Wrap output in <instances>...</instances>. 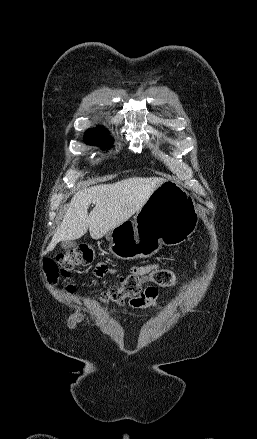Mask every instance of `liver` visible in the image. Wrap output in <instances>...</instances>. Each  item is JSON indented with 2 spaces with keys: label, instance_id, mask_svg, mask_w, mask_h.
I'll return each mask as SVG.
<instances>
[{
  "label": "liver",
  "instance_id": "1",
  "mask_svg": "<svg viewBox=\"0 0 257 439\" xmlns=\"http://www.w3.org/2000/svg\"><path fill=\"white\" fill-rule=\"evenodd\" d=\"M164 181L160 177H131L78 191L73 195L45 253L52 251L60 241L81 238L88 228L93 239L102 238L138 212ZM90 204H95V207L88 214Z\"/></svg>",
  "mask_w": 257,
  "mask_h": 439
}]
</instances>
